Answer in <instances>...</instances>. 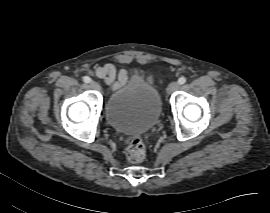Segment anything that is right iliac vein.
<instances>
[{"instance_id": "63e3f726", "label": "right iliac vein", "mask_w": 270, "mask_h": 213, "mask_svg": "<svg viewBox=\"0 0 270 213\" xmlns=\"http://www.w3.org/2000/svg\"><path fill=\"white\" fill-rule=\"evenodd\" d=\"M90 86L93 88V89H95V90H98L100 87H99V84L97 83V82H95V81H92L91 83H90Z\"/></svg>"}]
</instances>
